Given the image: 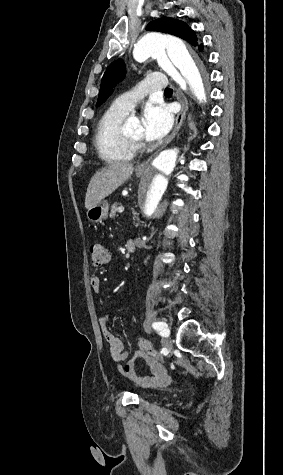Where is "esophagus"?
Here are the masks:
<instances>
[{
  "label": "esophagus",
  "mask_w": 283,
  "mask_h": 475,
  "mask_svg": "<svg viewBox=\"0 0 283 475\" xmlns=\"http://www.w3.org/2000/svg\"><path fill=\"white\" fill-rule=\"evenodd\" d=\"M175 95L181 104V109L176 115L173 131L170 134V136L167 138V140L163 142L161 149L166 147V145H168V143H170L171 140H173V138L177 135L188 110V102L184 93L180 89L177 88ZM152 159H153V156L149 157L145 162L140 163V165L137 166L136 171L146 170V168L148 167Z\"/></svg>",
  "instance_id": "esophagus-1"
}]
</instances>
